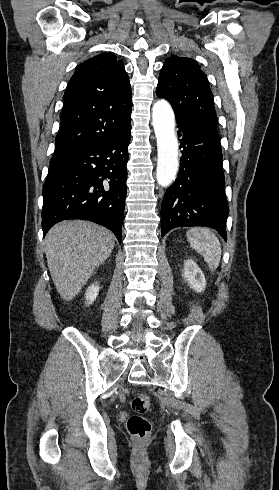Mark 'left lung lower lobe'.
I'll use <instances>...</instances> for the list:
<instances>
[{
    "label": "left lung lower lobe",
    "instance_id": "1",
    "mask_svg": "<svg viewBox=\"0 0 279 490\" xmlns=\"http://www.w3.org/2000/svg\"><path fill=\"white\" fill-rule=\"evenodd\" d=\"M176 119L183 151L178 177L162 201L161 235L176 227L205 226L227 240L229 207L218 131L185 118Z\"/></svg>",
    "mask_w": 279,
    "mask_h": 490
}]
</instances>
